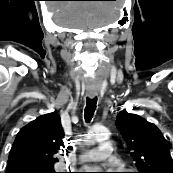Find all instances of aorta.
Masks as SVG:
<instances>
[{"label":"aorta","mask_w":173,"mask_h":173,"mask_svg":"<svg viewBox=\"0 0 173 173\" xmlns=\"http://www.w3.org/2000/svg\"><path fill=\"white\" fill-rule=\"evenodd\" d=\"M109 131L105 127H94L90 130L87 136V143L93 144L96 141L104 140L108 137Z\"/></svg>","instance_id":"1"}]
</instances>
